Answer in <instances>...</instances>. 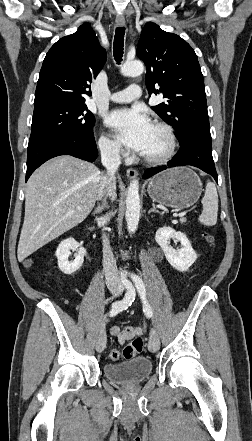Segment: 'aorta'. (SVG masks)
<instances>
[{
	"label": "aorta",
	"instance_id": "obj_1",
	"mask_svg": "<svg viewBox=\"0 0 252 441\" xmlns=\"http://www.w3.org/2000/svg\"><path fill=\"white\" fill-rule=\"evenodd\" d=\"M143 71L144 65L138 60L125 62L121 67V74L129 77L139 76ZM125 218L128 231L135 232L140 218L139 182L137 179L132 180L128 187Z\"/></svg>",
	"mask_w": 252,
	"mask_h": 441
}]
</instances>
